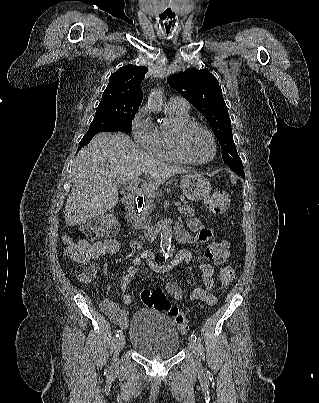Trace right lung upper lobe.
Returning a JSON list of instances; mask_svg holds the SVG:
<instances>
[{
	"label": "right lung upper lobe",
	"mask_w": 319,
	"mask_h": 403,
	"mask_svg": "<svg viewBox=\"0 0 319 403\" xmlns=\"http://www.w3.org/2000/svg\"><path fill=\"white\" fill-rule=\"evenodd\" d=\"M147 68L128 65L119 68L110 78L100 104L116 103L139 108L143 91L140 89Z\"/></svg>",
	"instance_id": "1"
}]
</instances>
